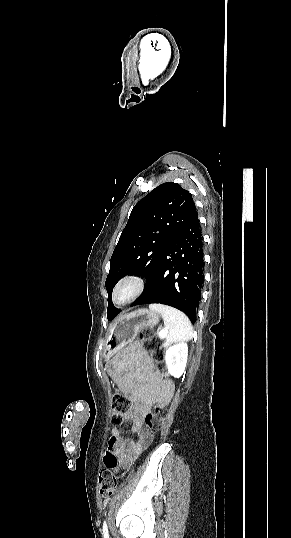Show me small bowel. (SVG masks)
Masks as SVG:
<instances>
[{"label":"small bowel","mask_w":291,"mask_h":538,"mask_svg":"<svg viewBox=\"0 0 291 538\" xmlns=\"http://www.w3.org/2000/svg\"><path fill=\"white\" fill-rule=\"evenodd\" d=\"M107 374L120 392L133 398L136 406L125 417L131 424L136 438H124L118 427L111 430L107 448H111L117 459L115 468L128 469L152 442V435L143 427V419L163 391L170 398L173 387L166 384L159 370L141 352L132 346L121 354H112L105 367ZM138 375L143 381L137 379Z\"/></svg>","instance_id":"1"}]
</instances>
